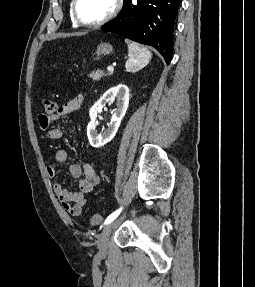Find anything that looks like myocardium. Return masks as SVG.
<instances>
[{"label":"myocardium","mask_w":255,"mask_h":287,"mask_svg":"<svg viewBox=\"0 0 255 287\" xmlns=\"http://www.w3.org/2000/svg\"><path fill=\"white\" fill-rule=\"evenodd\" d=\"M94 33H112V32H94ZM97 39H112V38H97ZM109 48H114V47H109Z\"/></svg>","instance_id":"1"}]
</instances>
